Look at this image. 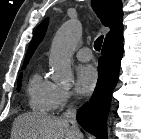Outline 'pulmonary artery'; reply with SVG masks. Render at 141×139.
<instances>
[{"label":"pulmonary artery","mask_w":141,"mask_h":139,"mask_svg":"<svg viewBox=\"0 0 141 139\" xmlns=\"http://www.w3.org/2000/svg\"><path fill=\"white\" fill-rule=\"evenodd\" d=\"M76 57L80 61H89L92 58V52L89 48L83 47L76 52Z\"/></svg>","instance_id":"pulmonary-artery-1"}]
</instances>
